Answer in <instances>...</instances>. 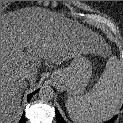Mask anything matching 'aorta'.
Masks as SVG:
<instances>
[{"instance_id":"aorta-1","label":"aorta","mask_w":123,"mask_h":123,"mask_svg":"<svg viewBox=\"0 0 123 123\" xmlns=\"http://www.w3.org/2000/svg\"><path fill=\"white\" fill-rule=\"evenodd\" d=\"M54 96V90L50 86H43L39 91V97L43 101H49Z\"/></svg>"}]
</instances>
